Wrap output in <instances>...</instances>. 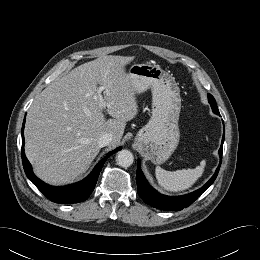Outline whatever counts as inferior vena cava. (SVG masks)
Segmentation results:
<instances>
[{
	"mask_svg": "<svg viewBox=\"0 0 260 260\" xmlns=\"http://www.w3.org/2000/svg\"><path fill=\"white\" fill-rule=\"evenodd\" d=\"M113 140V135L111 133H104L98 139L99 147H105L109 145Z\"/></svg>",
	"mask_w": 260,
	"mask_h": 260,
	"instance_id": "obj_1",
	"label": "inferior vena cava"
}]
</instances>
